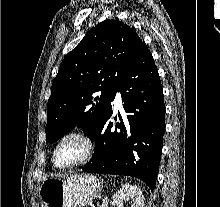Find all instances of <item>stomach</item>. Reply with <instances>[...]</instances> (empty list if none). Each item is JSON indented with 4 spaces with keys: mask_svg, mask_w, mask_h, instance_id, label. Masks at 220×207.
Wrapping results in <instances>:
<instances>
[{
    "mask_svg": "<svg viewBox=\"0 0 220 207\" xmlns=\"http://www.w3.org/2000/svg\"><path fill=\"white\" fill-rule=\"evenodd\" d=\"M101 190V182L90 174L71 173L45 179L39 189L41 207H82Z\"/></svg>",
    "mask_w": 220,
    "mask_h": 207,
    "instance_id": "obj_1",
    "label": "stomach"
}]
</instances>
